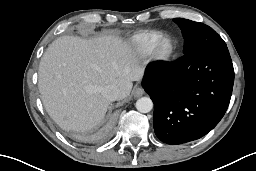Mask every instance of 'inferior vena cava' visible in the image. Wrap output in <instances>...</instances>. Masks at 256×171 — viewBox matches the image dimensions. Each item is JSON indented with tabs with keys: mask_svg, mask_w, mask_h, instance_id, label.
Returning a JSON list of instances; mask_svg holds the SVG:
<instances>
[{
	"mask_svg": "<svg viewBox=\"0 0 256 171\" xmlns=\"http://www.w3.org/2000/svg\"><path fill=\"white\" fill-rule=\"evenodd\" d=\"M102 95L108 100V101H115L119 97V91L117 87L114 85H106L102 89Z\"/></svg>",
	"mask_w": 256,
	"mask_h": 171,
	"instance_id": "obj_1",
	"label": "inferior vena cava"
}]
</instances>
